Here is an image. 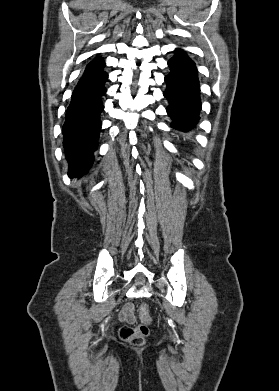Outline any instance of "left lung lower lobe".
Instances as JSON below:
<instances>
[{
	"label": "left lung lower lobe",
	"mask_w": 279,
	"mask_h": 391,
	"mask_svg": "<svg viewBox=\"0 0 279 391\" xmlns=\"http://www.w3.org/2000/svg\"><path fill=\"white\" fill-rule=\"evenodd\" d=\"M168 65L171 72L165 77L167 89L163 93L169 102L166 110L172 119L171 127L186 133L198 123L201 110L197 69L181 49L175 50Z\"/></svg>",
	"instance_id": "0a47b994"
}]
</instances>
